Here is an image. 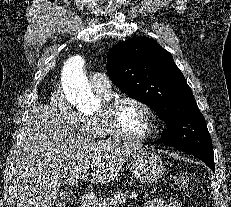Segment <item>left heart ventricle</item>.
Wrapping results in <instances>:
<instances>
[{
	"mask_svg": "<svg viewBox=\"0 0 231 207\" xmlns=\"http://www.w3.org/2000/svg\"><path fill=\"white\" fill-rule=\"evenodd\" d=\"M117 122L129 136L144 134L149 125L146 112L139 105L131 102L120 106L117 113Z\"/></svg>",
	"mask_w": 231,
	"mask_h": 207,
	"instance_id": "obj_1",
	"label": "left heart ventricle"
}]
</instances>
